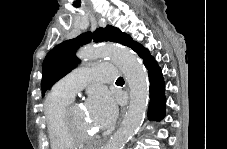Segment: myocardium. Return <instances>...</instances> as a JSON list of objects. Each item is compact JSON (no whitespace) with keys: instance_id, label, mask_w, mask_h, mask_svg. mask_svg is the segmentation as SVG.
<instances>
[{"instance_id":"f54148a6","label":"myocardium","mask_w":227,"mask_h":149,"mask_svg":"<svg viewBox=\"0 0 227 149\" xmlns=\"http://www.w3.org/2000/svg\"><path fill=\"white\" fill-rule=\"evenodd\" d=\"M78 105L71 102L64 110L63 122L67 134L77 143H87L95 138V134H88L78 130L74 124L73 111Z\"/></svg>"}]
</instances>
